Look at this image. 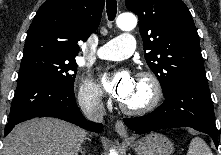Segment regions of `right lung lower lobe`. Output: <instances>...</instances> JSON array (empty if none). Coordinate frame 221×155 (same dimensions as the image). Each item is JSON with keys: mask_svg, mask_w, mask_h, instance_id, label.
<instances>
[{"mask_svg": "<svg viewBox=\"0 0 221 155\" xmlns=\"http://www.w3.org/2000/svg\"><path fill=\"white\" fill-rule=\"evenodd\" d=\"M35 117H55L89 131L99 132L102 125L87 121L80 112L73 89L64 88L48 79L32 76L17 84L5 136L13 127Z\"/></svg>", "mask_w": 221, "mask_h": 155, "instance_id": "obj_1", "label": "right lung lower lobe"}]
</instances>
